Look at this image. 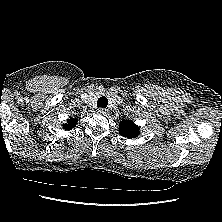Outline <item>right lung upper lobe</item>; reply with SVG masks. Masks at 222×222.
<instances>
[{
  "mask_svg": "<svg viewBox=\"0 0 222 222\" xmlns=\"http://www.w3.org/2000/svg\"><path fill=\"white\" fill-rule=\"evenodd\" d=\"M76 124H77V119L71 117L70 119H68L67 123L63 125V127L66 130H70L74 128Z\"/></svg>",
  "mask_w": 222,
  "mask_h": 222,
  "instance_id": "1",
  "label": "right lung upper lobe"
}]
</instances>
